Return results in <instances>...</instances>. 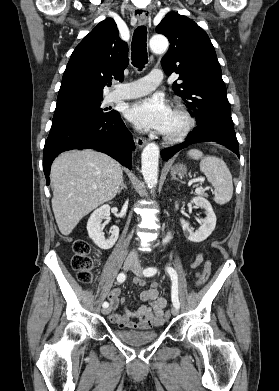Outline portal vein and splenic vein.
I'll list each match as a JSON object with an SVG mask.
<instances>
[{
    "mask_svg": "<svg viewBox=\"0 0 279 391\" xmlns=\"http://www.w3.org/2000/svg\"><path fill=\"white\" fill-rule=\"evenodd\" d=\"M202 191H203V188L202 187H198V188H196L195 193L196 194H200Z\"/></svg>",
    "mask_w": 279,
    "mask_h": 391,
    "instance_id": "portal-vein-and-splenic-vein-1",
    "label": "portal vein and splenic vein"
}]
</instances>
